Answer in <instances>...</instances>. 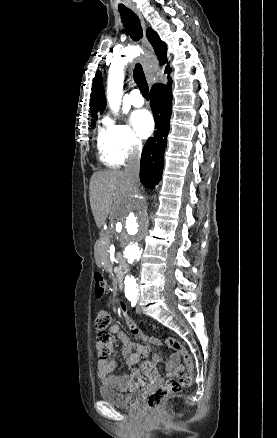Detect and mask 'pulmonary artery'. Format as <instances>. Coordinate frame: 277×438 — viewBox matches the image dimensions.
Wrapping results in <instances>:
<instances>
[{"mask_svg":"<svg viewBox=\"0 0 277 438\" xmlns=\"http://www.w3.org/2000/svg\"><path fill=\"white\" fill-rule=\"evenodd\" d=\"M131 93V104L136 108L142 107L144 105V99L140 96H143L144 94L143 87H133Z\"/></svg>","mask_w":277,"mask_h":438,"instance_id":"e3ab8cb5","label":"pulmonary artery"}]
</instances>
